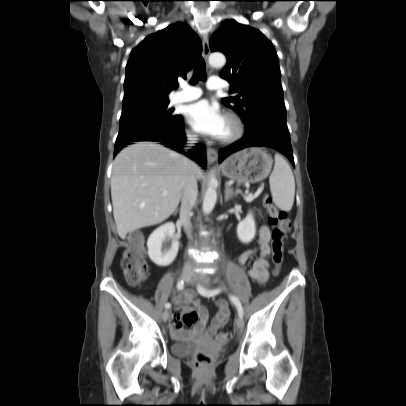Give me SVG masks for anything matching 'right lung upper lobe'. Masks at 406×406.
Returning <instances> with one entry per match:
<instances>
[{
	"mask_svg": "<svg viewBox=\"0 0 406 406\" xmlns=\"http://www.w3.org/2000/svg\"><path fill=\"white\" fill-rule=\"evenodd\" d=\"M201 50L199 37L186 23L147 36L131 51L126 65L123 106L168 100L178 87V76L186 77Z\"/></svg>",
	"mask_w": 406,
	"mask_h": 406,
	"instance_id": "right-lung-upper-lobe-1",
	"label": "right lung upper lobe"
}]
</instances>
